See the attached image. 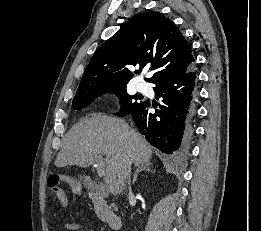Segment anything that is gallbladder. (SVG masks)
<instances>
[{"instance_id":"gallbladder-1","label":"gallbladder","mask_w":261,"mask_h":231,"mask_svg":"<svg viewBox=\"0 0 261 231\" xmlns=\"http://www.w3.org/2000/svg\"><path fill=\"white\" fill-rule=\"evenodd\" d=\"M81 179H83V183L86 187L91 188L94 191L100 192V188L98 186L94 185V184H91L87 177H83Z\"/></svg>"}]
</instances>
